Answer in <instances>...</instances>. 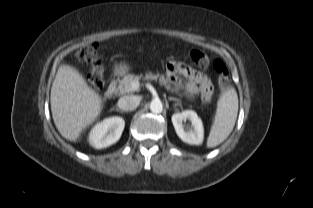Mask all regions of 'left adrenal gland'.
I'll return each instance as SVG.
<instances>
[{
    "instance_id": "left-adrenal-gland-1",
    "label": "left adrenal gland",
    "mask_w": 313,
    "mask_h": 208,
    "mask_svg": "<svg viewBox=\"0 0 313 208\" xmlns=\"http://www.w3.org/2000/svg\"><path fill=\"white\" fill-rule=\"evenodd\" d=\"M168 99H169L170 101H177V102H180V100H179V99L174 98V97H169Z\"/></svg>"
}]
</instances>
